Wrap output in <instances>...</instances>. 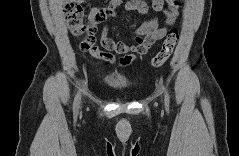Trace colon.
Returning <instances> with one entry per match:
<instances>
[{
	"mask_svg": "<svg viewBox=\"0 0 239 156\" xmlns=\"http://www.w3.org/2000/svg\"><path fill=\"white\" fill-rule=\"evenodd\" d=\"M63 12L71 34L74 36H81L87 33V37H89V39L82 43V48L86 51H91L97 29L94 23L85 21L84 8L77 2H69L64 6ZM105 18V11L101 10L96 15V20L98 22L104 21ZM178 40L179 33L177 29H171L164 40L160 51L152 58L151 65L153 67H160L163 65L171 56Z\"/></svg>",
	"mask_w": 239,
	"mask_h": 156,
	"instance_id": "colon-1",
	"label": "colon"
}]
</instances>
